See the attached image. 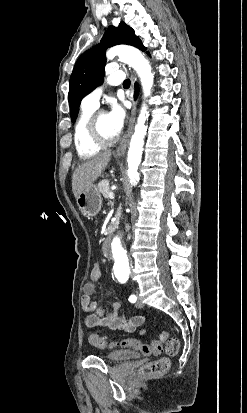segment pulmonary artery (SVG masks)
I'll return each mask as SVG.
<instances>
[{
	"label": "pulmonary artery",
	"instance_id": "e3ab8cb5",
	"mask_svg": "<svg viewBox=\"0 0 247 413\" xmlns=\"http://www.w3.org/2000/svg\"><path fill=\"white\" fill-rule=\"evenodd\" d=\"M124 75L123 69H118L117 72L106 75L104 80L96 85L89 93H87L84 98V104L89 108H97L99 99L104 92L106 86L117 85L121 82L122 76Z\"/></svg>",
	"mask_w": 247,
	"mask_h": 413
}]
</instances>
